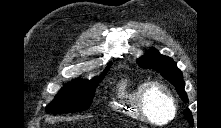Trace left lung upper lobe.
Listing matches in <instances>:
<instances>
[{"instance_id":"left-lung-upper-lobe-1","label":"left lung upper lobe","mask_w":221,"mask_h":128,"mask_svg":"<svg viewBox=\"0 0 221 128\" xmlns=\"http://www.w3.org/2000/svg\"><path fill=\"white\" fill-rule=\"evenodd\" d=\"M137 62L143 68H151L159 72L176 87L183 101L188 102L186 92L184 91L185 83L182 73L170 57L161 55L157 50L151 49L143 57L138 59ZM184 115L188 122L193 125V117L190 110H185Z\"/></svg>"}]
</instances>
